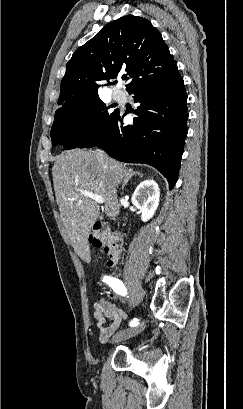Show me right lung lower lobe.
<instances>
[{
  "instance_id": "right-lung-lower-lobe-1",
  "label": "right lung lower lobe",
  "mask_w": 243,
  "mask_h": 409,
  "mask_svg": "<svg viewBox=\"0 0 243 409\" xmlns=\"http://www.w3.org/2000/svg\"><path fill=\"white\" fill-rule=\"evenodd\" d=\"M127 91L140 103L133 125H125L118 111L110 123L77 147L98 146L117 160L149 164L164 175L172 189L188 132L187 94L177 66Z\"/></svg>"
}]
</instances>
